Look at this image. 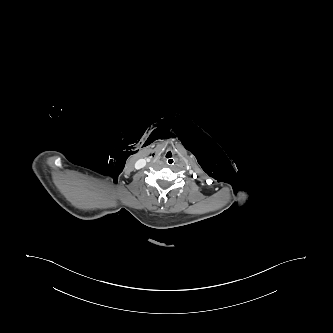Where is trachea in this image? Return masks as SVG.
I'll list each match as a JSON object with an SVG mask.
<instances>
[{"label": "trachea", "instance_id": "1", "mask_svg": "<svg viewBox=\"0 0 333 333\" xmlns=\"http://www.w3.org/2000/svg\"><path fill=\"white\" fill-rule=\"evenodd\" d=\"M163 161L169 165L172 166L176 163L177 158L176 156L172 153V152H167L164 156H163Z\"/></svg>", "mask_w": 333, "mask_h": 333}]
</instances>
